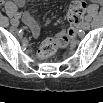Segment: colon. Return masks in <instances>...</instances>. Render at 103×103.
Listing matches in <instances>:
<instances>
[{"mask_svg":"<svg viewBox=\"0 0 103 103\" xmlns=\"http://www.w3.org/2000/svg\"><path fill=\"white\" fill-rule=\"evenodd\" d=\"M86 11V3L84 1H74L71 3L68 18L70 28L56 37L47 38L39 48L38 55L41 59H45L53 55L56 50L67 47L71 41L77 36L80 26L84 20Z\"/></svg>","mask_w":103,"mask_h":103,"instance_id":"5ec220e1","label":"colon"}]
</instances>
